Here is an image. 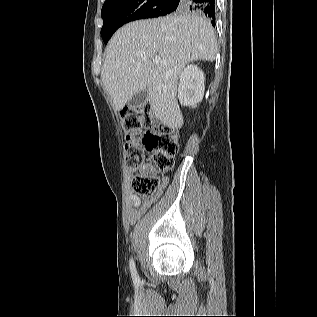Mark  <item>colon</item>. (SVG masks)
Segmentation results:
<instances>
[{"label":"colon","mask_w":317,"mask_h":317,"mask_svg":"<svg viewBox=\"0 0 317 317\" xmlns=\"http://www.w3.org/2000/svg\"><path fill=\"white\" fill-rule=\"evenodd\" d=\"M125 131V163L132 172L131 185L143 199H151L160 187L157 173L171 170L179 149V135L171 127L151 118L147 105L125 108L122 113ZM146 153L150 154V164Z\"/></svg>","instance_id":"colon-1"}]
</instances>
